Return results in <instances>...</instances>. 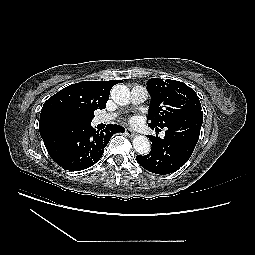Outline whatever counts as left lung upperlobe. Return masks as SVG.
I'll list each match as a JSON object with an SVG mask.
<instances>
[{
    "instance_id": "1",
    "label": "left lung upper lobe",
    "mask_w": 255,
    "mask_h": 255,
    "mask_svg": "<svg viewBox=\"0 0 255 255\" xmlns=\"http://www.w3.org/2000/svg\"><path fill=\"white\" fill-rule=\"evenodd\" d=\"M147 90L151 96L148 119L153 126L164 128L203 115L197 94L183 82L151 78Z\"/></svg>"
}]
</instances>
